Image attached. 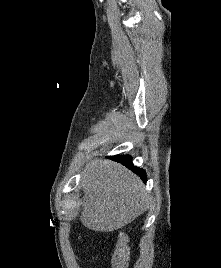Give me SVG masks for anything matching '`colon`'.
<instances>
[{"mask_svg":"<svg viewBox=\"0 0 221 268\" xmlns=\"http://www.w3.org/2000/svg\"><path fill=\"white\" fill-rule=\"evenodd\" d=\"M129 258V247L126 235L121 233L114 250L111 265L112 268H126Z\"/></svg>","mask_w":221,"mask_h":268,"instance_id":"colon-1","label":"colon"}]
</instances>
